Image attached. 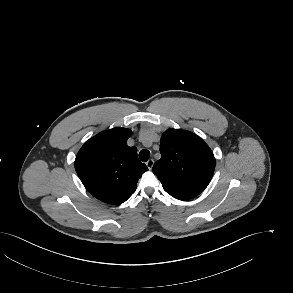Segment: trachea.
Here are the masks:
<instances>
[{
  "instance_id": "1",
  "label": "trachea",
  "mask_w": 293,
  "mask_h": 293,
  "mask_svg": "<svg viewBox=\"0 0 293 293\" xmlns=\"http://www.w3.org/2000/svg\"><path fill=\"white\" fill-rule=\"evenodd\" d=\"M150 157V151L143 149L139 153V158L142 162H146Z\"/></svg>"
}]
</instances>
